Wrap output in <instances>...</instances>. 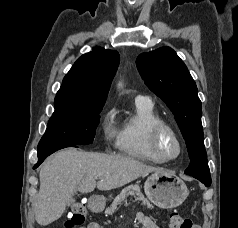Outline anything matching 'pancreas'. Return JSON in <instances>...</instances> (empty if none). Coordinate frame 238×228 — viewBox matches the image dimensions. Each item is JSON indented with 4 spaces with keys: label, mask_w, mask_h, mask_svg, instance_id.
I'll list each match as a JSON object with an SVG mask.
<instances>
[{
    "label": "pancreas",
    "mask_w": 238,
    "mask_h": 228,
    "mask_svg": "<svg viewBox=\"0 0 238 228\" xmlns=\"http://www.w3.org/2000/svg\"><path fill=\"white\" fill-rule=\"evenodd\" d=\"M129 195L134 196L136 201L147 206V208H153V205L142 194L139 185H129L125 187L117 197H115L111 206L106 209V213L112 215L116 211L118 205H120Z\"/></svg>",
    "instance_id": "cf45deb5"
}]
</instances>
